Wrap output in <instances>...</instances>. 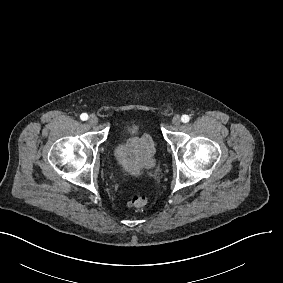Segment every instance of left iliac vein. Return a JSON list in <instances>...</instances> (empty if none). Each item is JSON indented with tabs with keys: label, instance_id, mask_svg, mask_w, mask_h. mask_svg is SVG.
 I'll use <instances>...</instances> for the list:
<instances>
[{
	"label": "left iliac vein",
	"instance_id": "left-iliac-vein-1",
	"mask_svg": "<svg viewBox=\"0 0 283 283\" xmlns=\"http://www.w3.org/2000/svg\"><path fill=\"white\" fill-rule=\"evenodd\" d=\"M172 124L175 126V127H178L180 124H181V118L176 115L172 118Z\"/></svg>",
	"mask_w": 283,
	"mask_h": 283
}]
</instances>
